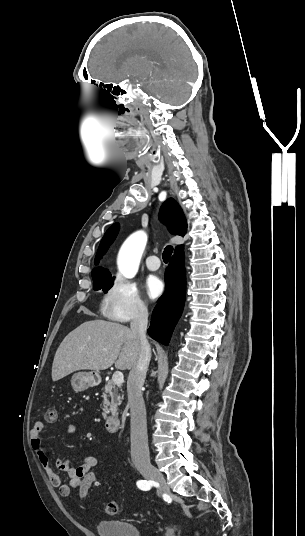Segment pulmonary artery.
<instances>
[{
  "label": "pulmonary artery",
  "instance_id": "1",
  "mask_svg": "<svg viewBox=\"0 0 305 536\" xmlns=\"http://www.w3.org/2000/svg\"><path fill=\"white\" fill-rule=\"evenodd\" d=\"M160 260V257L158 254L153 253L146 259V266L151 271H156L160 268V264L158 263Z\"/></svg>",
  "mask_w": 305,
  "mask_h": 536
}]
</instances>
